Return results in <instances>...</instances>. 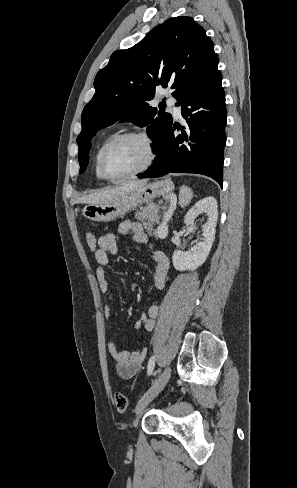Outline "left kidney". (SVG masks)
I'll return each mask as SVG.
<instances>
[{
  "label": "left kidney",
  "mask_w": 297,
  "mask_h": 488,
  "mask_svg": "<svg viewBox=\"0 0 297 488\" xmlns=\"http://www.w3.org/2000/svg\"><path fill=\"white\" fill-rule=\"evenodd\" d=\"M217 201L214 197L199 200L185 215L184 223L194 226L197 216L207 214L208 220L202 227V239L190 250H176L172 255L173 266L178 271L195 270L207 259L215 239V228L218 219Z\"/></svg>",
  "instance_id": "left-kidney-1"
}]
</instances>
